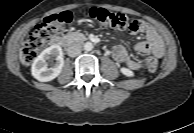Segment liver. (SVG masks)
Here are the masks:
<instances>
[{
	"instance_id": "liver-1",
	"label": "liver",
	"mask_w": 194,
	"mask_h": 133,
	"mask_svg": "<svg viewBox=\"0 0 194 133\" xmlns=\"http://www.w3.org/2000/svg\"><path fill=\"white\" fill-rule=\"evenodd\" d=\"M20 61H21L22 64L25 63V60H24V58L22 56V49L20 50Z\"/></svg>"
}]
</instances>
